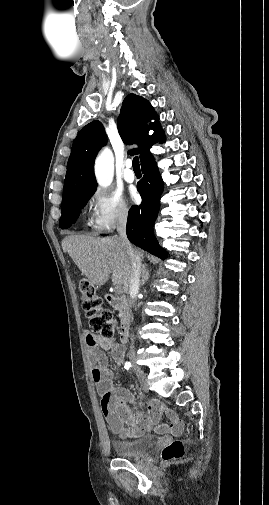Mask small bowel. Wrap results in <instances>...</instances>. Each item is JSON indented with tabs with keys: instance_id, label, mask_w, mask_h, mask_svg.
Wrapping results in <instances>:
<instances>
[{
	"instance_id": "small-bowel-1",
	"label": "small bowel",
	"mask_w": 269,
	"mask_h": 505,
	"mask_svg": "<svg viewBox=\"0 0 269 505\" xmlns=\"http://www.w3.org/2000/svg\"><path fill=\"white\" fill-rule=\"evenodd\" d=\"M86 342L92 363V378L101 398V410L112 433L121 439L138 438L151 430L160 434H182L184 424L175 415L169 414L168 422H161L167 408L160 400L152 399L145 413H135L129 406L136 404L135 395L125 387L114 385L113 372L104 351H109L115 364L121 366L125 357L123 345L112 337L90 333H86Z\"/></svg>"
}]
</instances>
